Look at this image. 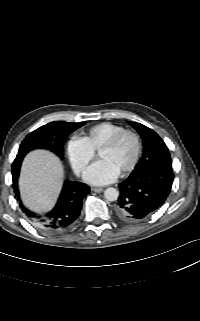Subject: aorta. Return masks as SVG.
I'll return each instance as SVG.
<instances>
[{
  "label": "aorta",
  "instance_id": "1",
  "mask_svg": "<svg viewBox=\"0 0 200 321\" xmlns=\"http://www.w3.org/2000/svg\"><path fill=\"white\" fill-rule=\"evenodd\" d=\"M119 196V191L116 188L109 187L104 191V197L108 201H116Z\"/></svg>",
  "mask_w": 200,
  "mask_h": 321
}]
</instances>
